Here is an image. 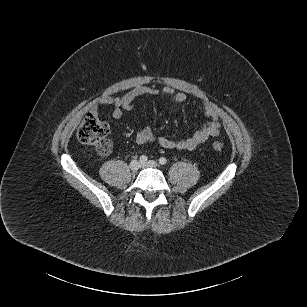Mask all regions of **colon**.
Masks as SVG:
<instances>
[{
  "label": "colon",
  "instance_id": "obj_1",
  "mask_svg": "<svg viewBox=\"0 0 307 307\" xmlns=\"http://www.w3.org/2000/svg\"><path fill=\"white\" fill-rule=\"evenodd\" d=\"M78 140L95 147L101 155H107L112 150V141L109 136L107 125L100 121L93 112L87 114L77 131ZM212 147L216 151H222L223 145L219 141H214Z\"/></svg>",
  "mask_w": 307,
  "mask_h": 307
}]
</instances>
